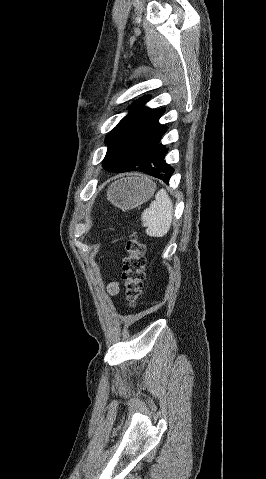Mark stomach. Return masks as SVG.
Listing matches in <instances>:
<instances>
[{
  "mask_svg": "<svg viewBox=\"0 0 266 479\" xmlns=\"http://www.w3.org/2000/svg\"><path fill=\"white\" fill-rule=\"evenodd\" d=\"M155 184L146 176L136 175L114 182L107 191L108 200L120 209H132L152 197Z\"/></svg>",
  "mask_w": 266,
  "mask_h": 479,
  "instance_id": "stomach-1",
  "label": "stomach"
}]
</instances>
